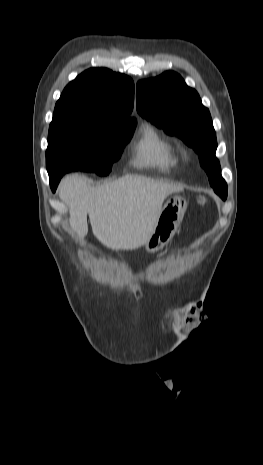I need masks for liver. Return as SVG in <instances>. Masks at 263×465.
Here are the masks:
<instances>
[{"label":"liver","mask_w":263,"mask_h":465,"mask_svg":"<svg viewBox=\"0 0 263 465\" xmlns=\"http://www.w3.org/2000/svg\"><path fill=\"white\" fill-rule=\"evenodd\" d=\"M59 197L69 207V222L79 238L88 233L112 250H136L149 239L166 197L183 188L140 175H125L98 187L87 178L65 177Z\"/></svg>","instance_id":"6515ba94"}]
</instances>
